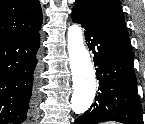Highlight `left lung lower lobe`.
I'll return each mask as SVG.
<instances>
[{
  "instance_id": "0a47b994",
  "label": "left lung lower lobe",
  "mask_w": 145,
  "mask_h": 124,
  "mask_svg": "<svg viewBox=\"0 0 145 124\" xmlns=\"http://www.w3.org/2000/svg\"><path fill=\"white\" fill-rule=\"evenodd\" d=\"M72 20L85 29V38L94 54L96 76L99 80V92L94 104L76 119L75 124H98L104 121L144 124L137 93L133 53L129 45L73 11Z\"/></svg>"
}]
</instances>
